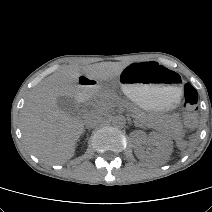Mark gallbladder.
I'll return each mask as SVG.
<instances>
[{
  "label": "gallbladder",
  "mask_w": 212,
  "mask_h": 212,
  "mask_svg": "<svg viewBox=\"0 0 212 212\" xmlns=\"http://www.w3.org/2000/svg\"><path fill=\"white\" fill-rule=\"evenodd\" d=\"M57 105L63 112L74 115L77 107V102L73 97L59 96L57 98Z\"/></svg>",
  "instance_id": "obj_1"
}]
</instances>
